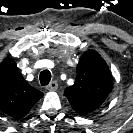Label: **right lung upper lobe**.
I'll list each match as a JSON object with an SVG mask.
<instances>
[{"instance_id": "1", "label": "right lung upper lobe", "mask_w": 133, "mask_h": 133, "mask_svg": "<svg viewBox=\"0 0 133 133\" xmlns=\"http://www.w3.org/2000/svg\"><path fill=\"white\" fill-rule=\"evenodd\" d=\"M43 93L29 85L15 61L6 58L0 64V110L16 119L28 114Z\"/></svg>"}]
</instances>
